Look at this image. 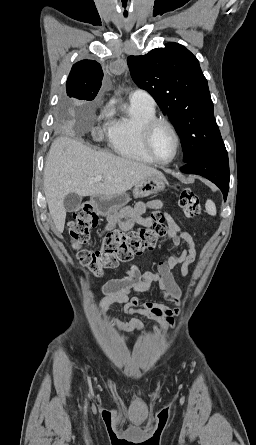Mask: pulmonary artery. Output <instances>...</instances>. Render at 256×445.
<instances>
[{
    "label": "pulmonary artery",
    "instance_id": "obj_1",
    "mask_svg": "<svg viewBox=\"0 0 256 445\" xmlns=\"http://www.w3.org/2000/svg\"><path fill=\"white\" fill-rule=\"evenodd\" d=\"M129 100L131 104H136L143 107L154 108L155 101L153 97L143 89H136L130 93Z\"/></svg>",
    "mask_w": 256,
    "mask_h": 445
}]
</instances>
